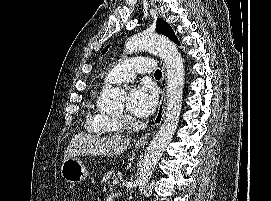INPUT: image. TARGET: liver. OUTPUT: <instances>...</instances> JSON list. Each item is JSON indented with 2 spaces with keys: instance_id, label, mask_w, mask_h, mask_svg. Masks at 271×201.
Returning a JSON list of instances; mask_svg holds the SVG:
<instances>
[{
  "instance_id": "obj_1",
  "label": "liver",
  "mask_w": 271,
  "mask_h": 201,
  "mask_svg": "<svg viewBox=\"0 0 271 201\" xmlns=\"http://www.w3.org/2000/svg\"><path fill=\"white\" fill-rule=\"evenodd\" d=\"M130 143L128 136L113 135L99 137L87 133H78L70 141L64 161L76 156H111L120 155L127 150Z\"/></svg>"
}]
</instances>
